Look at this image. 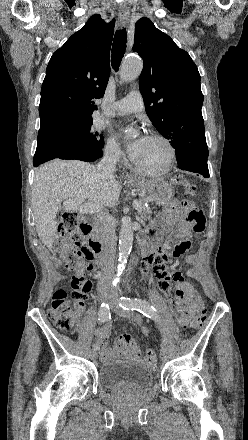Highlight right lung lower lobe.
Returning a JSON list of instances; mask_svg holds the SVG:
<instances>
[{
  "instance_id": "right-lung-lower-lobe-1",
  "label": "right lung lower lobe",
  "mask_w": 248,
  "mask_h": 440,
  "mask_svg": "<svg viewBox=\"0 0 248 440\" xmlns=\"http://www.w3.org/2000/svg\"><path fill=\"white\" fill-rule=\"evenodd\" d=\"M103 155V153L101 155H92V154H75V155H66V156H55L52 154H47V153H38L35 154L34 159H33V165L34 167H37L38 165L49 161V160H53V159H76V160H81V161H86V162H93L99 158H101Z\"/></svg>"
}]
</instances>
